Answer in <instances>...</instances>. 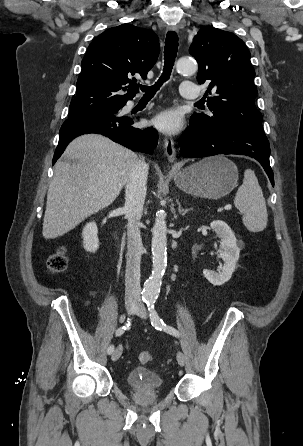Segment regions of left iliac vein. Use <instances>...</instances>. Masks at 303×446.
<instances>
[{
    "label": "left iliac vein",
    "instance_id": "left-iliac-vein-1",
    "mask_svg": "<svg viewBox=\"0 0 303 446\" xmlns=\"http://www.w3.org/2000/svg\"><path fill=\"white\" fill-rule=\"evenodd\" d=\"M135 313L140 316L141 318H146L147 317V310L143 305H138ZM177 358V362L179 363L180 366H184L185 362H186V357L184 355V353L182 352H178L176 355Z\"/></svg>",
    "mask_w": 303,
    "mask_h": 446
}]
</instances>
